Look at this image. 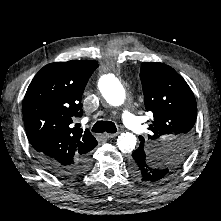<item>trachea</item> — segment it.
Instances as JSON below:
<instances>
[{
  "label": "trachea",
  "instance_id": "trachea-1",
  "mask_svg": "<svg viewBox=\"0 0 221 221\" xmlns=\"http://www.w3.org/2000/svg\"><path fill=\"white\" fill-rule=\"evenodd\" d=\"M92 132H108V133H116L117 128L116 125L111 121H98L95 123V125L92 127Z\"/></svg>",
  "mask_w": 221,
  "mask_h": 221
}]
</instances>
